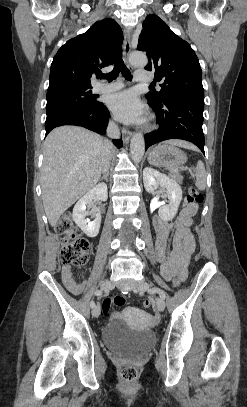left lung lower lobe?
<instances>
[{
    "label": "left lung lower lobe",
    "mask_w": 247,
    "mask_h": 407,
    "mask_svg": "<svg viewBox=\"0 0 247 407\" xmlns=\"http://www.w3.org/2000/svg\"><path fill=\"white\" fill-rule=\"evenodd\" d=\"M150 106L156 113L160 127L145 135V150L164 140L183 139L194 143L204 153L202 130L204 99L173 96L161 106L152 104Z\"/></svg>",
    "instance_id": "0a47b994"
}]
</instances>
